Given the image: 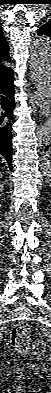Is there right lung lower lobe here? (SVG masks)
Returning a JSON list of instances; mask_svg holds the SVG:
<instances>
[{"label": "right lung lower lobe", "instance_id": "obj_1", "mask_svg": "<svg viewBox=\"0 0 51 393\" xmlns=\"http://www.w3.org/2000/svg\"><path fill=\"white\" fill-rule=\"evenodd\" d=\"M12 69L0 77V154L12 170V124L15 109Z\"/></svg>", "mask_w": 51, "mask_h": 393}]
</instances>
